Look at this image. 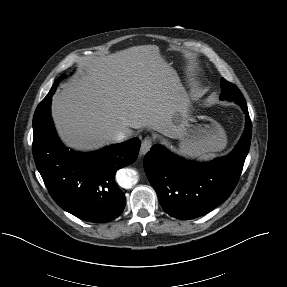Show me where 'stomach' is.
<instances>
[{
    "mask_svg": "<svg viewBox=\"0 0 287 287\" xmlns=\"http://www.w3.org/2000/svg\"><path fill=\"white\" fill-rule=\"evenodd\" d=\"M177 139L180 153L187 157H204L224 149L227 144L222 126L193 110H189L187 118L181 123Z\"/></svg>",
    "mask_w": 287,
    "mask_h": 287,
    "instance_id": "0dacf381",
    "label": "stomach"
}]
</instances>
